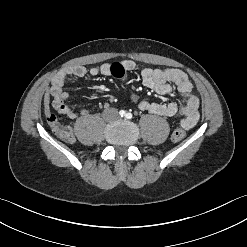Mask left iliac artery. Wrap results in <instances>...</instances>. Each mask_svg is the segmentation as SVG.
<instances>
[{"mask_svg":"<svg viewBox=\"0 0 247 247\" xmlns=\"http://www.w3.org/2000/svg\"><path fill=\"white\" fill-rule=\"evenodd\" d=\"M132 117H133V116H132L131 113H127V114H126V118H127V119H131Z\"/></svg>","mask_w":247,"mask_h":247,"instance_id":"44dca946","label":"left iliac artery"}]
</instances>
